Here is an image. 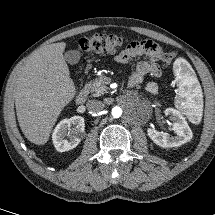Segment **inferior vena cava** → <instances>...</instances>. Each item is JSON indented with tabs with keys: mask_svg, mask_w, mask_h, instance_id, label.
Listing matches in <instances>:
<instances>
[{
	"mask_svg": "<svg viewBox=\"0 0 215 215\" xmlns=\"http://www.w3.org/2000/svg\"><path fill=\"white\" fill-rule=\"evenodd\" d=\"M87 109L93 112H100L104 108V103L98 100H89L86 104Z\"/></svg>",
	"mask_w": 215,
	"mask_h": 215,
	"instance_id": "1",
	"label": "inferior vena cava"
}]
</instances>
